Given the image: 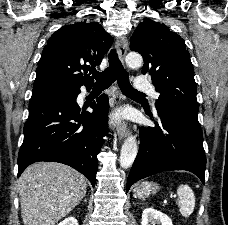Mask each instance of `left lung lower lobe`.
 Instances as JSON below:
<instances>
[{
  "mask_svg": "<svg viewBox=\"0 0 228 225\" xmlns=\"http://www.w3.org/2000/svg\"><path fill=\"white\" fill-rule=\"evenodd\" d=\"M161 125L140 130V147L126 190L138 180L169 170H187L204 184L206 157L198 110L177 104L156 105ZM150 116V115H149Z\"/></svg>",
  "mask_w": 228,
  "mask_h": 225,
  "instance_id": "1",
  "label": "left lung lower lobe"
}]
</instances>
